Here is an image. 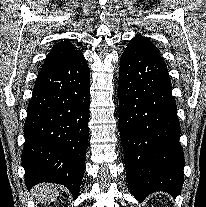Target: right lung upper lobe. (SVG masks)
Here are the masks:
<instances>
[{"instance_id": "1", "label": "right lung upper lobe", "mask_w": 206, "mask_h": 207, "mask_svg": "<svg viewBox=\"0 0 206 207\" xmlns=\"http://www.w3.org/2000/svg\"><path fill=\"white\" fill-rule=\"evenodd\" d=\"M80 56H82V53L76 50L70 42L58 43L46 57L41 72L60 67Z\"/></svg>"}]
</instances>
